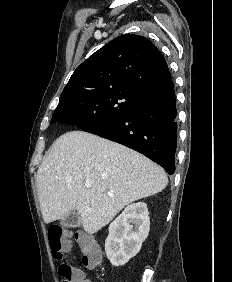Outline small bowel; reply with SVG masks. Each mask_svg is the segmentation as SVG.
<instances>
[{
	"mask_svg": "<svg viewBox=\"0 0 232 282\" xmlns=\"http://www.w3.org/2000/svg\"><path fill=\"white\" fill-rule=\"evenodd\" d=\"M79 274L81 276V281L80 282H91V280H89L88 278H86L85 273L79 269Z\"/></svg>",
	"mask_w": 232,
	"mask_h": 282,
	"instance_id": "small-bowel-1",
	"label": "small bowel"
}]
</instances>
